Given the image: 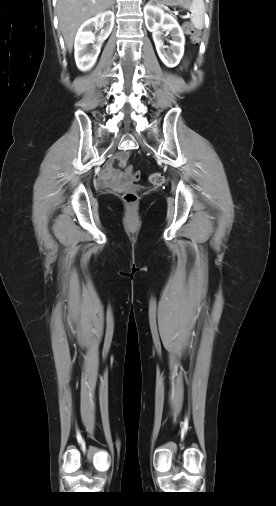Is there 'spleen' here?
Masks as SVG:
<instances>
[{"instance_id":"obj_1","label":"spleen","mask_w":276,"mask_h":506,"mask_svg":"<svg viewBox=\"0 0 276 506\" xmlns=\"http://www.w3.org/2000/svg\"><path fill=\"white\" fill-rule=\"evenodd\" d=\"M189 11L192 14L191 22L196 29H203L204 27V14L205 5L203 0H193L188 6Z\"/></svg>"}]
</instances>
